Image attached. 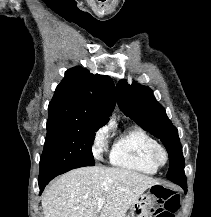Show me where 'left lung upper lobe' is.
I'll return each mask as SVG.
<instances>
[{
	"instance_id": "left-lung-upper-lobe-1",
	"label": "left lung upper lobe",
	"mask_w": 211,
	"mask_h": 217,
	"mask_svg": "<svg viewBox=\"0 0 211 217\" xmlns=\"http://www.w3.org/2000/svg\"><path fill=\"white\" fill-rule=\"evenodd\" d=\"M117 102L125 115L163 142L170 162L167 178L175 183H187L178 130L168 119L165 109L156 101L152 90L138 83L129 85L121 80L117 85Z\"/></svg>"
}]
</instances>
